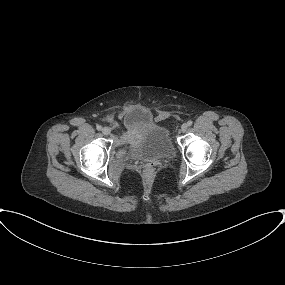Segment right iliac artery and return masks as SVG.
<instances>
[{"mask_svg": "<svg viewBox=\"0 0 285 285\" xmlns=\"http://www.w3.org/2000/svg\"><path fill=\"white\" fill-rule=\"evenodd\" d=\"M96 129H97L98 131H100V130L102 129V127H101L100 125H97V126H96Z\"/></svg>", "mask_w": 285, "mask_h": 285, "instance_id": "1", "label": "right iliac artery"}]
</instances>
